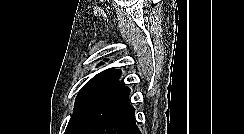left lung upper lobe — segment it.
Returning <instances> with one entry per match:
<instances>
[{"label": "left lung upper lobe", "mask_w": 244, "mask_h": 134, "mask_svg": "<svg viewBox=\"0 0 244 134\" xmlns=\"http://www.w3.org/2000/svg\"><path fill=\"white\" fill-rule=\"evenodd\" d=\"M120 76L121 70L110 68L83 86L65 134H94L104 121L129 104L130 88L119 82Z\"/></svg>", "instance_id": "5c2ea615"}]
</instances>
